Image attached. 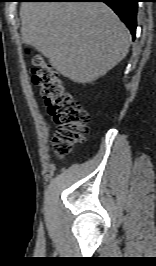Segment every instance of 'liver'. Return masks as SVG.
I'll return each mask as SVG.
<instances>
[{
	"label": "liver",
	"instance_id": "6515ba94",
	"mask_svg": "<svg viewBox=\"0 0 156 266\" xmlns=\"http://www.w3.org/2000/svg\"><path fill=\"white\" fill-rule=\"evenodd\" d=\"M20 18L23 42L73 82H94L129 51V30L101 2H24Z\"/></svg>",
	"mask_w": 156,
	"mask_h": 266
}]
</instances>
